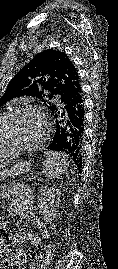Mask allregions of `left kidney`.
<instances>
[{"label":"left kidney","instance_id":"5707ae66","mask_svg":"<svg viewBox=\"0 0 118 269\" xmlns=\"http://www.w3.org/2000/svg\"><path fill=\"white\" fill-rule=\"evenodd\" d=\"M60 195L61 191L56 187L42 186L40 188L37 196V208L45 224H51L56 218Z\"/></svg>","mask_w":118,"mask_h":269}]
</instances>
